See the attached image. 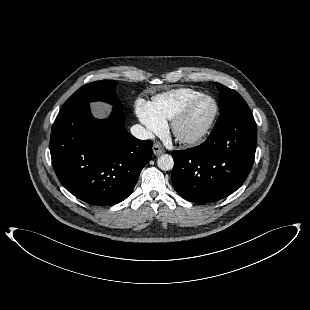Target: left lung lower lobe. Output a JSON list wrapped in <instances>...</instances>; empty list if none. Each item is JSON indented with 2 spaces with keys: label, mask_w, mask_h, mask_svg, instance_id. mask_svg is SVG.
Returning <instances> with one entry per match:
<instances>
[{
  "label": "left lung lower lobe",
  "mask_w": 310,
  "mask_h": 310,
  "mask_svg": "<svg viewBox=\"0 0 310 310\" xmlns=\"http://www.w3.org/2000/svg\"><path fill=\"white\" fill-rule=\"evenodd\" d=\"M255 148L256 125L250 111L215 124L202 145L172 152L173 186L194 203L227 197L247 178Z\"/></svg>",
  "instance_id": "0a47b994"
}]
</instances>
